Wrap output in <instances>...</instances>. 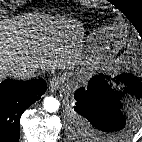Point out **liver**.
Listing matches in <instances>:
<instances>
[{"label": "liver", "mask_w": 142, "mask_h": 142, "mask_svg": "<svg viewBox=\"0 0 142 142\" xmlns=\"http://www.w3.org/2000/svg\"><path fill=\"white\" fill-rule=\"evenodd\" d=\"M42 21L26 22L22 32L16 30V24L0 23V77L19 64L30 63L42 71L65 68L67 45L72 33L63 30H70L75 25L60 26L61 22L50 19Z\"/></svg>", "instance_id": "1"}]
</instances>
